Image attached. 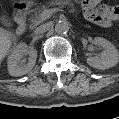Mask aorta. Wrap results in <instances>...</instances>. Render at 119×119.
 Segmentation results:
<instances>
[{
    "label": "aorta",
    "instance_id": "1",
    "mask_svg": "<svg viewBox=\"0 0 119 119\" xmlns=\"http://www.w3.org/2000/svg\"><path fill=\"white\" fill-rule=\"evenodd\" d=\"M69 30V24L67 21L65 20H59L56 24H55V31L58 34H64L66 32H68Z\"/></svg>",
    "mask_w": 119,
    "mask_h": 119
}]
</instances>
